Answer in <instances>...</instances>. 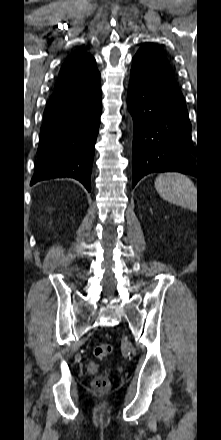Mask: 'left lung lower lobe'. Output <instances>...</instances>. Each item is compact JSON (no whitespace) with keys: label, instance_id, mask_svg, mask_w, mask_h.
I'll return each instance as SVG.
<instances>
[{"label":"left lung lower lobe","instance_id":"0a47b994","mask_svg":"<svg viewBox=\"0 0 221 440\" xmlns=\"http://www.w3.org/2000/svg\"><path fill=\"white\" fill-rule=\"evenodd\" d=\"M134 121L132 187L154 172H181L199 178L191 155V123L172 70L148 52L132 60L127 96Z\"/></svg>","mask_w":221,"mask_h":440}]
</instances>
